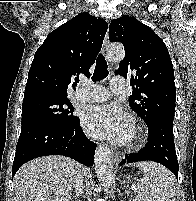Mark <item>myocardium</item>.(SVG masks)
Instances as JSON below:
<instances>
[{
	"label": "myocardium",
	"instance_id": "myocardium-1",
	"mask_svg": "<svg viewBox=\"0 0 196 201\" xmlns=\"http://www.w3.org/2000/svg\"><path fill=\"white\" fill-rule=\"evenodd\" d=\"M145 136H146V133H145L143 126L140 124H137L134 127L130 140L127 142V147L128 148L137 147L141 142L144 141Z\"/></svg>",
	"mask_w": 196,
	"mask_h": 201
}]
</instances>
